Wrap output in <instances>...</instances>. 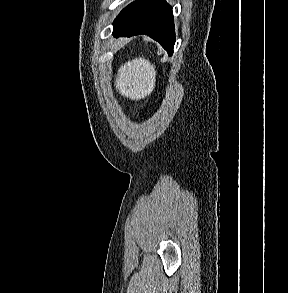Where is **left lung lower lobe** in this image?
I'll return each mask as SVG.
<instances>
[{
	"label": "left lung lower lobe",
	"mask_w": 288,
	"mask_h": 293,
	"mask_svg": "<svg viewBox=\"0 0 288 293\" xmlns=\"http://www.w3.org/2000/svg\"><path fill=\"white\" fill-rule=\"evenodd\" d=\"M115 37L146 34L173 53L175 32L172 7L165 0H135L113 22Z\"/></svg>",
	"instance_id": "obj_1"
}]
</instances>
